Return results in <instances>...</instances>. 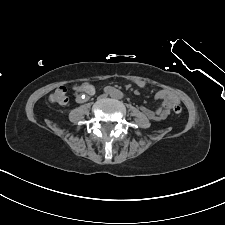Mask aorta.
Segmentation results:
<instances>
[{
  "instance_id": "1",
  "label": "aorta",
  "mask_w": 225,
  "mask_h": 225,
  "mask_svg": "<svg viewBox=\"0 0 225 225\" xmlns=\"http://www.w3.org/2000/svg\"><path fill=\"white\" fill-rule=\"evenodd\" d=\"M116 96H117V97H121V96H122V93H121L120 91H117V92H116Z\"/></svg>"
}]
</instances>
